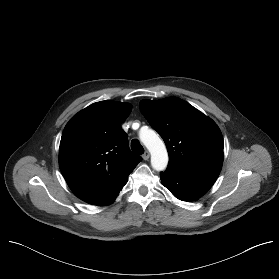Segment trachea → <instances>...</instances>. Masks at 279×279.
Masks as SVG:
<instances>
[{
    "label": "trachea",
    "instance_id": "3493384b",
    "mask_svg": "<svg viewBox=\"0 0 279 279\" xmlns=\"http://www.w3.org/2000/svg\"><path fill=\"white\" fill-rule=\"evenodd\" d=\"M131 149L136 154H143L144 148L140 144V142L137 139H133L131 142Z\"/></svg>",
    "mask_w": 279,
    "mask_h": 279
}]
</instances>
